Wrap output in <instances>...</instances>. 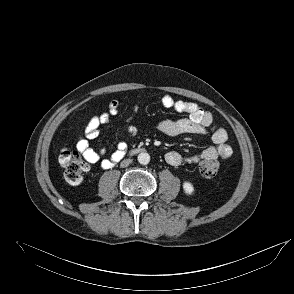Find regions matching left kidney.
Here are the masks:
<instances>
[{"label":"left kidney","instance_id":"left-kidney-1","mask_svg":"<svg viewBox=\"0 0 294 294\" xmlns=\"http://www.w3.org/2000/svg\"><path fill=\"white\" fill-rule=\"evenodd\" d=\"M183 189H184V192H185L186 194L191 195V194L194 193V187H193V185H192L190 182H188V181H185V182L183 183Z\"/></svg>","mask_w":294,"mask_h":294}]
</instances>
